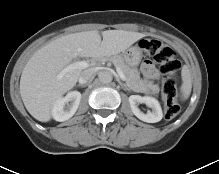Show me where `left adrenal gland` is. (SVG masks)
Returning a JSON list of instances; mask_svg holds the SVG:
<instances>
[{
  "instance_id": "left-adrenal-gland-1",
  "label": "left adrenal gland",
  "mask_w": 219,
  "mask_h": 174,
  "mask_svg": "<svg viewBox=\"0 0 219 174\" xmlns=\"http://www.w3.org/2000/svg\"><path fill=\"white\" fill-rule=\"evenodd\" d=\"M124 86H125V88H126L127 90H130V88H128L126 84H124Z\"/></svg>"
}]
</instances>
